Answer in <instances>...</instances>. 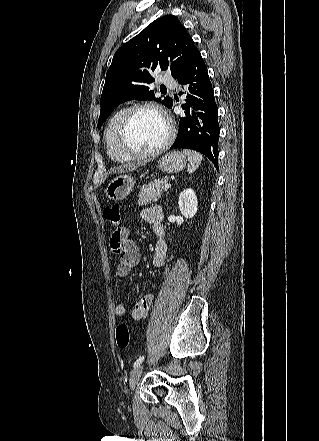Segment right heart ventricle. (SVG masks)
<instances>
[{
  "label": "right heart ventricle",
  "instance_id": "e07e8e85",
  "mask_svg": "<svg viewBox=\"0 0 319 441\" xmlns=\"http://www.w3.org/2000/svg\"><path fill=\"white\" fill-rule=\"evenodd\" d=\"M127 109V107L117 109L110 117L104 132L107 154L115 162H127L131 159V157L120 150L116 138L118 125Z\"/></svg>",
  "mask_w": 319,
  "mask_h": 441
}]
</instances>
